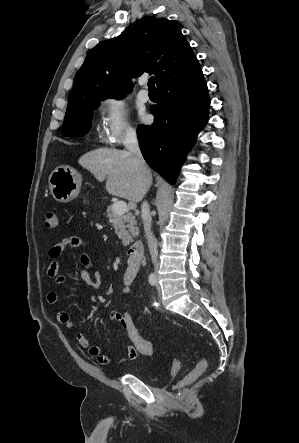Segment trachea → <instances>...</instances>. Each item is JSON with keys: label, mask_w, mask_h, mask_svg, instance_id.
<instances>
[{"label": "trachea", "mask_w": 299, "mask_h": 443, "mask_svg": "<svg viewBox=\"0 0 299 443\" xmlns=\"http://www.w3.org/2000/svg\"><path fill=\"white\" fill-rule=\"evenodd\" d=\"M148 90L149 91H156L154 77H150L148 80Z\"/></svg>", "instance_id": "3493384b"}]
</instances>
